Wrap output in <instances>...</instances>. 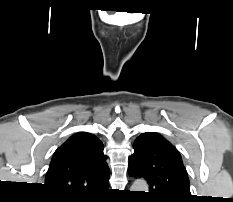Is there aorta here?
I'll return each mask as SVG.
<instances>
[{
	"label": "aorta",
	"instance_id": "1",
	"mask_svg": "<svg viewBox=\"0 0 233 202\" xmlns=\"http://www.w3.org/2000/svg\"><path fill=\"white\" fill-rule=\"evenodd\" d=\"M148 190V185L143 180H137L131 186V191H146Z\"/></svg>",
	"mask_w": 233,
	"mask_h": 202
}]
</instances>
